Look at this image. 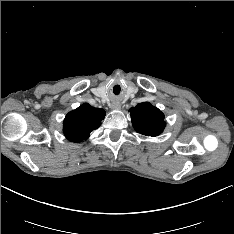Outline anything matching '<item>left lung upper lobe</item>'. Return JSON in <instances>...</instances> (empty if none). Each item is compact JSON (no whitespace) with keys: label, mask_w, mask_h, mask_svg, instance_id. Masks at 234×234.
<instances>
[{"label":"left lung upper lobe","mask_w":234,"mask_h":234,"mask_svg":"<svg viewBox=\"0 0 234 234\" xmlns=\"http://www.w3.org/2000/svg\"><path fill=\"white\" fill-rule=\"evenodd\" d=\"M134 129L146 136H157L165 128L164 114L149 102L137 104L130 109Z\"/></svg>","instance_id":"obj_1"}]
</instances>
